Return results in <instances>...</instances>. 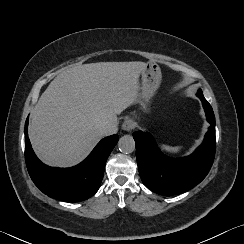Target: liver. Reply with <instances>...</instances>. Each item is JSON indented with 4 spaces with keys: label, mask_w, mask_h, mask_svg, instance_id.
I'll return each mask as SVG.
<instances>
[{
    "label": "liver",
    "mask_w": 244,
    "mask_h": 244,
    "mask_svg": "<svg viewBox=\"0 0 244 244\" xmlns=\"http://www.w3.org/2000/svg\"><path fill=\"white\" fill-rule=\"evenodd\" d=\"M144 62H98L64 68L42 93L29 125V139L48 166L82 162L103 137L100 127L139 96Z\"/></svg>",
    "instance_id": "6515ba94"
}]
</instances>
